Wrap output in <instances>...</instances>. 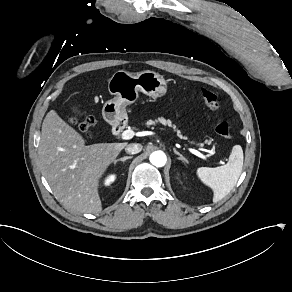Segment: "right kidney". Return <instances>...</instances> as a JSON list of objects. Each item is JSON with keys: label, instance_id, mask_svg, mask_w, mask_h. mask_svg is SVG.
<instances>
[{"label": "right kidney", "instance_id": "ca27d5eb", "mask_svg": "<svg viewBox=\"0 0 292 292\" xmlns=\"http://www.w3.org/2000/svg\"><path fill=\"white\" fill-rule=\"evenodd\" d=\"M111 180H113V177H111V178L107 181V183H109Z\"/></svg>", "mask_w": 292, "mask_h": 292}]
</instances>
